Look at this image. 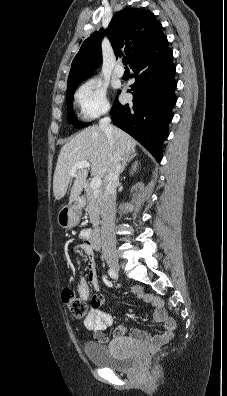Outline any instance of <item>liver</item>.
Here are the masks:
<instances>
[{
    "label": "liver",
    "mask_w": 227,
    "mask_h": 396,
    "mask_svg": "<svg viewBox=\"0 0 227 396\" xmlns=\"http://www.w3.org/2000/svg\"><path fill=\"white\" fill-rule=\"evenodd\" d=\"M114 129V142L110 143L99 126L85 128L67 142L60 151L53 179V193L56 200L66 194L68 185L74 178L69 202H74L83 190L88 175L86 168H79L71 176L72 167L80 161H89L91 174L104 177L112 166V157H123L135 150L136 141L126 132Z\"/></svg>",
    "instance_id": "6515ba94"
}]
</instances>
